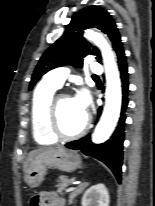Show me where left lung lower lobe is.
<instances>
[{"instance_id": "0a47b994", "label": "left lung lower lobe", "mask_w": 155, "mask_h": 206, "mask_svg": "<svg viewBox=\"0 0 155 206\" xmlns=\"http://www.w3.org/2000/svg\"><path fill=\"white\" fill-rule=\"evenodd\" d=\"M117 63L121 75L122 82V111L118 126L113 136L102 144H94L90 140V136H86L79 140L67 143L65 146L70 149H80L85 155L92 156L104 162L114 173L118 182L121 181V167L123 155V141H124V123L125 110L128 104V67L126 63V56L123 47H119L116 51ZM101 107L98 109V114H101Z\"/></svg>"}]
</instances>
